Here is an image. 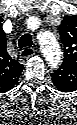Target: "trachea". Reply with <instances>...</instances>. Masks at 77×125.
<instances>
[{"label": "trachea", "instance_id": "3493384b", "mask_svg": "<svg viewBox=\"0 0 77 125\" xmlns=\"http://www.w3.org/2000/svg\"><path fill=\"white\" fill-rule=\"evenodd\" d=\"M32 37L30 34H24L20 37L19 41H18V46L20 49H22L23 47H27V46H32Z\"/></svg>", "mask_w": 77, "mask_h": 125}]
</instances>
